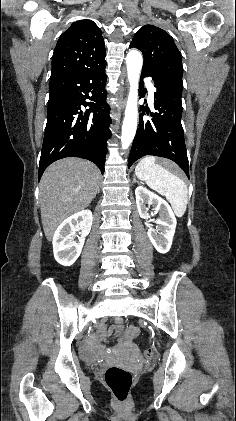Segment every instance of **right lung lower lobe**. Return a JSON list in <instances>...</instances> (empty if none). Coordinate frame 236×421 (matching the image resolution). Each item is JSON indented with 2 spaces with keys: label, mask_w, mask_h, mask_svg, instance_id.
Masks as SVG:
<instances>
[{
  "label": "right lung lower lobe",
  "mask_w": 236,
  "mask_h": 421,
  "mask_svg": "<svg viewBox=\"0 0 236 421\" xmlns=\"http://www.w3.org/2000/svg\"><path fill=\"white\" fill-rule=\"evenodd\" d=\"M105 67L106 63L51 79L49 90L58 94L48 100L39 179L51 163L65 157L88 159L104 173L107 140L111 136ZM81 105L89 106V110L83 113ZM90 112L94 114L89 118Z\"/></svg>",
  "instance_id": "right-lung-lower-lobe-1"
}]
</instances>
